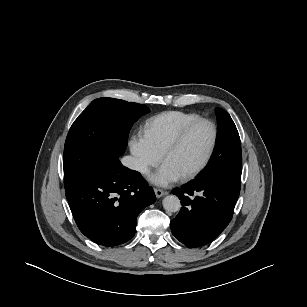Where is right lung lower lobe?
<instances>
[{"label": "right lung lower lobe", "mask_w": 307, "mask_h": 307, "mask_svg": "<svg viewBox=\"0 0 307 307\" xmlns=\"http://www.w3.org/2000/svg\"><path fill=\"white\" fill-rule=\"evenodd\" d=\"M66 198L80 231L93 242L117 246L135 234L137 216L156 197L141 174L118 157L71 188Z\"/></svg>", "instance_id": "98d812e1"}]
</instances>
